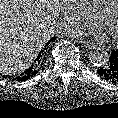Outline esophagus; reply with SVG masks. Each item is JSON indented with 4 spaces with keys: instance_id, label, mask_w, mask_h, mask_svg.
Listing matches in <instances>:
<instances>
[{
    "instance_id": "obj_1",
    "label": "esophagus",
    "mask_w": 118,
    "mask_h": 118,
    "mask_svg": "<svg viewBox=\"0 0 118 118\" xmlns=\"http://www.w3.org/2000/svg\"><path fill=\"white\" fill-rule=\"evenodd\" d=\"M79 43L82 44L84 47L87 48H91L93 47V42L89 41V40H83V39H79Z\"/></svg>"
}]
</instances>
